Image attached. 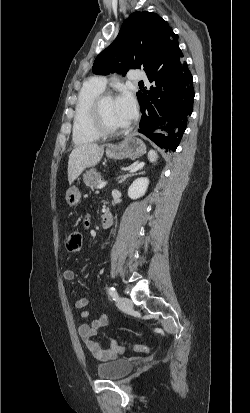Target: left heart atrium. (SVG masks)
<instances>
[{"mask_svg": "<svg viewBox=\"0 0 250 413\" xmlns=\"http://www.w3.org/2000/svg\"><path fill=\"white\" fill-rule=\"evenodd\" d=\"M118 117L123 125L131 123L137 116V103L129 91H122L115 99Z\"/></svg>", "mask_w": 250, "mask_h": 413, "instance_id": "1", "label": "left heart atrium"}]
</instances>
